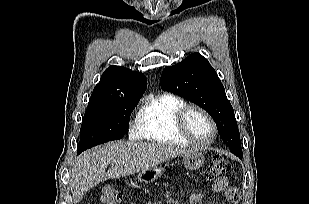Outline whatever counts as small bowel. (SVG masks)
<instances>
[{"label":"small bowel","instance_id":"small-bowel-1","mask_svg":"<svg viewBox=\"0 0 309 204\" xmlns=\"http://www.w3.org/2000/svg\"><path fill=\"white\" fill-rule=\"evenodd\" d=\"M213 191L216 193H222L226 199L232 203H235L239 198V192L236 188L229 187V179L227 176H221L216 179L213 184ZM191 204H202V198L199 194H192L190 196Z\"/></svg>","mask_w":309,"mask_h":204}]
</instances>
